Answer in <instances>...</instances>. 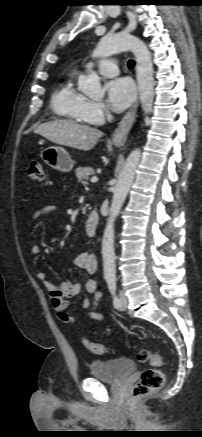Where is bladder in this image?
<instances>
[{
    "label": "bladder",
    "mask_w": 202,
    "mask_h": 437,
    "mask_svg": "<svg viewBox=\"0 0 202 437\" xmlns=\"http://www.w3.org/2000/svg\"><path fill=\"white\" fill-rule=\"evenodd\" d=\"M135 370V361L125 357L106 361H93L89 364L91 377L109 383H118L134 373Z\"/></svg>",
    "instance_id": "bladder-1"
}]
</instances>
